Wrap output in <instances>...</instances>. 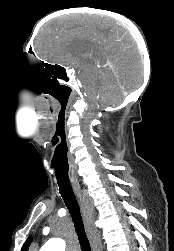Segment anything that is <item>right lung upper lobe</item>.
Here are the masks:
<instances>
[{"mask_svg": "<svg viewBox=\"0 0 174 251\" xmlns=\"http://www.w3.org/2000/svg\"><path fill=\"white\" fill-rule=\"evenodd\" d=\"M31 242H32V237H29L27 239V241L24 243L21 251H28V247H29V245H30Z\"/></svg>", "mask_w": 174, "mask_h": 251, "instance_id": "cb5924a9", "label": "right lung upper lobe"}]
</instances>
